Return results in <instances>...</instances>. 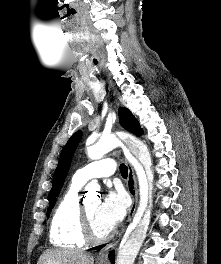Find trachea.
I'll list each match as a JSON object with an SVG mask.
<instances>
[{
  "mask_svg": "<svg viewBox=\"0 0 221 264\" xmlns=\"http://www.w3.org/2000/svg\"><path fill=\"white\" fill-rule=\"evenodd\" d=\"M120 173H121L123 178H127L128 168H127V166L125 164H121L120 165Z\"/></svg>",
  "mask_w": 221,
  "mask_h": 264,
  "instance_id": "trachea-1",
  "label": "trachea"
}]
</instances>
